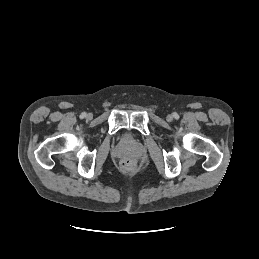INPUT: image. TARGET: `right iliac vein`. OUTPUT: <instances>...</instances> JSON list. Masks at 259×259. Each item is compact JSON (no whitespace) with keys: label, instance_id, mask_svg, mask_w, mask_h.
Listing matches in <instances>:
<instances>
[{"label":"right iliac vein","instance_id":"right-iliac-vein-1","mask_svg":"<svg viewBox=\"0 0 259 259\" xmlns=\"http://www.w3.org/2000/svg\"><path fill=\"white\" fill-rule=\"evenodd\" d=\"M86 118L89 119V120L92 119V114H87Z\"/></svg>","mask_w":259,"mask_h":259}]
</instances>
